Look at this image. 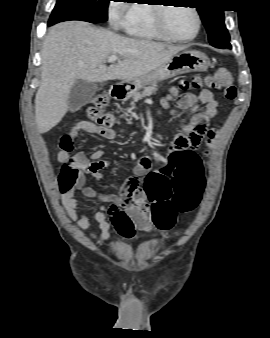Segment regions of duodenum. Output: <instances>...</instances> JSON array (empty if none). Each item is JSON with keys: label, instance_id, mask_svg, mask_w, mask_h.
<instances>
[{"label": "duodenum", "instance_id": "1", "mask_svg": "<svg viewBox=\"0 0 270 338\" xmlns=\"http://www.w3.org/2000/svg\"><path fill=\"white\" fill-rule=\"evenodd\" d=\"M125 86L114 85L109 91V97L113 100H121L125 97Z\"/></svg>", "mask_w": 270, "mask_h": 338}]
</instances>
